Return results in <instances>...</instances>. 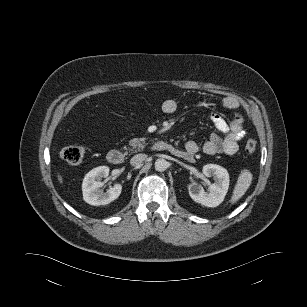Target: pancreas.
Wrapping results in <instances>:
<instances>
[{
    "mask_svg": "<svg viewBox=\"0 0 307 307\" xmlns=\"http://www.w3.org/2000/svg\"><path fill=\"white\" fill-rule=\"evenodd\" d=\"M145 138H134L129 141V145L132 149H142L145 146Z\"/></svg>",
    "mask_w": 307,
    "mask_h": 307,
    "instance_id": "cf45deb5",
    "label": "pancreas"
}]
</instances>
